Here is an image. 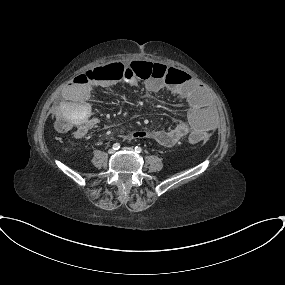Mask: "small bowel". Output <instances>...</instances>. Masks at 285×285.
<instances>
[{
    "mask_svg": "<svg viewBox=\"0 0 285 285\" xmlns=\"http://www.w3.org/2000/svg\"><path fill=\"white\" fill-rule=\"evenodd\" d=\"M108 67L109 65L91 69V71L102 72V78L92 79L89 83H81L79 82V76H77L63 90L64 97L58 104L56 113L73 112V118L77 123L75 130V136L77 137L85 135L100 124L99 119L88 117L91 108L87 100L93 88L111 87L126 76L129 77L128 83H137L133 75L129 76L128 67H124L125 70L122 76H119L116 71ZM144 87L150 92L168 90L186 104L187 117L185 121L178 122L171 129L140 131L129 135L130 138H151L163 147H171L192 131L207 133L214 129L213 114L206 106V93L192 78H187L183 83L176 85H166L162 81L151 79L144 83Z\"/></svg>",
    "mask_w": 285,
    "mask_h": 285,
    "instance_id": "1",
    "label": "small bowel"
}]
</instances>
